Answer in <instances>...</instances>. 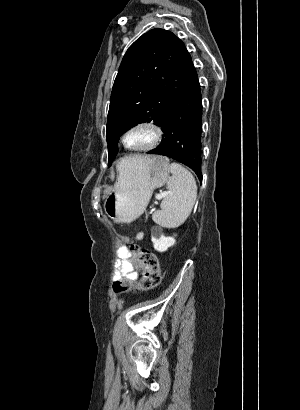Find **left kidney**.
<instances>
[{
    "mask_svg": "<svg viewBox=\"0 0 300 410\" xmlns=\"http://www.w3.org/2000/svg\"><path fill=\"white\" fill-rule=\"evenodd\" d=\"M154 249L159 252L166 251L175 244L173 237H165L160 229H154L151 234Z\"/></svg>",
    "mask_w": 300,
    "mask_h": 410,
    "instance_id": "5707ae66",
    "label": "left kidney"
}]
</instances>
